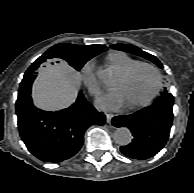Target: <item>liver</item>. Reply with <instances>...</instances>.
<instances>
[{
	"label": "liver",
	"instance_id": "obj_1",
	"mask_svg": "<svg viewBox=\"0 0 194 193\" xmlns=\"http://www.w3.org/2000/svg\"><path fill=\"white\" fill-rule=\"evenodd\" d=\"M79 86L80 76L67 65L43 69L33 86L34 104L48 111L67 108L75 101Z\"/></svg>",
	"mask_w": 194,
	"mask_h": 193
}]
</instances>
